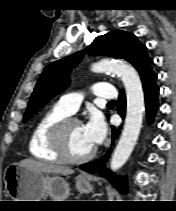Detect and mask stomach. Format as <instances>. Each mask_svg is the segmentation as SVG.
Segmentation results:
<instances>
[{
  "instance_id": "stomach-1",
  "label": "stomach",
  "mask_w": 176,
  "mask_h": 211,
  "mask_svg": "<svg viewBox=\"0 0 176 211\" xmlns=\"http://www.w3.org/2000/svg\"><path fill=\"white\" fill-rule=\"evenodd\" d=\"M4 182L7 193L14 201H41L47 196L54 198V201H66L64 199L70 194L69 184L64 178L49 176L17 163L5 169ZM76 188L80 193L93 191V185L85 175L76 177Z\"/></svg>"
}]
</instances>
